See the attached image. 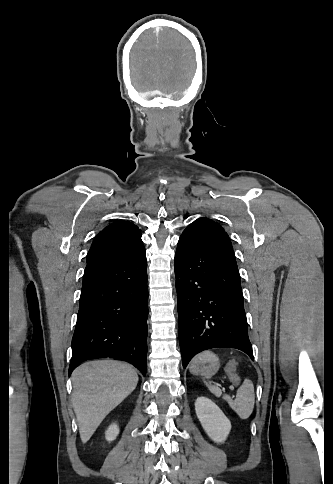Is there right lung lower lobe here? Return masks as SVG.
Returning <instances> with one entry per match:
<instances>
[{"mask_svg":"<svg viewBox=\"0 0 333 484\" xmlns=\"http://www.w3.org/2000/svg\"><path fill=\"white\" fill-rule=\"evenodd\" d=\"M147 261L145 248L88 261L72 339L69 374L83 361L115 358L146 374Z\"/></svg>","mask_w":333,"mask_h":484,"instance_id":"98d812e1","label":"right lung lower lobe"}]
</instances>
